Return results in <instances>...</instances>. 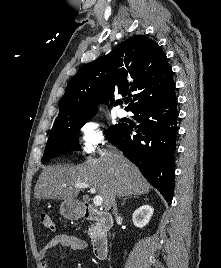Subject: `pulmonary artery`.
<instances>
[{
  "mask_svg": "<svg viewBox=\"0 0 221 268\" xmlns=\"http://www.w3.org/2000/svg\"><path fill=\"white\" fill-rule=\"evenodd\" d=\"M117 115L120 117V118H124L127 116V112L124 110V109H119L118 112H117Z\"/></svg>",
  "mask_w": 221,
  "mask_h": 268,
  "instance_id": "1",
  "label": "pulmonary artery"
}]
</instances>
